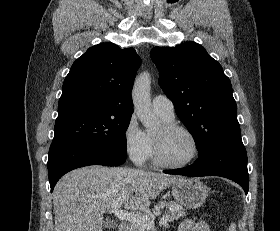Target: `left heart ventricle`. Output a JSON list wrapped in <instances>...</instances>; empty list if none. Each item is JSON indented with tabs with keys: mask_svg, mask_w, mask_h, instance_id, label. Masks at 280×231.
<instances>
[{
	"mask_svg": "<svg viewBox=\"0 0 280 231\" xmlns=\"http://www.w3.org/2000/svg\"><path fill=\"white\" fill-rule=\"evenodd\" d=\"M154 137L159 139L164 156L172 162H185L195 153L193 139L183 131L166 130L162 125Z\"/></svg>",
	"mask_w": 280,
	"mask_h": 231,
	"instance_id": "1",
	"label": "left heart ventricle"
}]
</instances>
